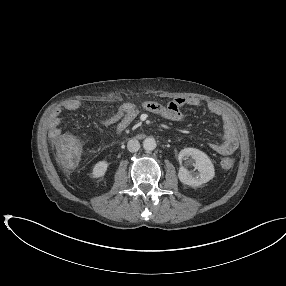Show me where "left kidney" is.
<instances>
[{"label":"left kidney","mask_w":286,"mask_h":286,"mask_svg":"<svg viewBox=\"0 0 286 286\" xmlns=\"http://www.w3.org/2000/svg\"><path fill=\"white\" fill-rule=\"evenodd\" d=\"M188 157L194 159V167L199 171V174L193 176L186 168L181 166L178 172V177L183 184L196 187L213 179L215 170L207 154L196 148H184L178 155L180 164Z\"/></svg>","instance_id":"1"}]
</instances>
